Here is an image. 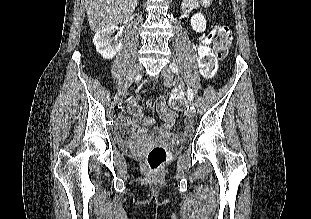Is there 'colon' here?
Wrapping results in <instances>:
<instances>
[{"instance_id":"obj_1","label":"colon","mask_w":311,"mask_h":219,"mask_svg":"<svg viewBox=\"0 0 311 219\" xmlns=\"http://www.w3.org/2000/svg\"><path fill=\"white\" fill-rule=\"evenodd\" d=\"M210 41L213 44V51H209L205 46L199 48V63L207 77L212 76L214 73L218 60L226 58L232 44V35L227 26H218L210 35ZM172 106H177L175 98L170 99ZM167 123V121H166ZM127 129L123 125L122 132ZM169 151L163 146L152 148L147 154V164L152 172L159 171L169 158Z\"/></svg>"}]
</instances>
